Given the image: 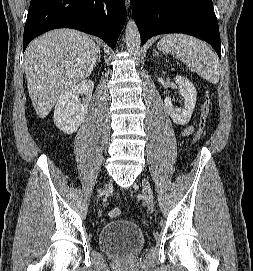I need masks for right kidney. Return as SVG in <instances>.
Here are the masks:
<instances>
[{
	"label": "right kidney",
	"instance_id": "1",
	"mask_svg": "<svg viewBox=\"0 0 253 271\" xmlns=\"http://www.w3.org/2000/svg\"><path fill=\"white\" fill-rule=\"evenodd\" d=\"M94 83L91 80L81 81L68 88L58 99L54 109V123L65 134L75 133L82 124L88 111ZM84 94L81 103L79 95Z\"/></svg>",
	"mask_w": 253,
	"mask_h": 271
}]
</instances>
